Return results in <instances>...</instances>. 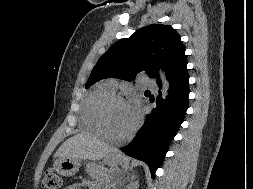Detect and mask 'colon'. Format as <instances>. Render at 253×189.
I'll list each match as a JSON object with an SVG mask.
<instances>
[{
    "label": "colon",
    "mask_w": 253,
    "mask_h": 189,
    "mask_svg": "<svg viewBox=\"0 0 253 189\" xmlns=\"http://www.w3.org/2000/svg\"><path fill=\"white\" fill-rule=\"evenodd\" d=\"M61 184V177L53 170H48L42 180L43 189H59Z\"/></svg>",
    "instance_id": "colon-1"
}]
</instances>
